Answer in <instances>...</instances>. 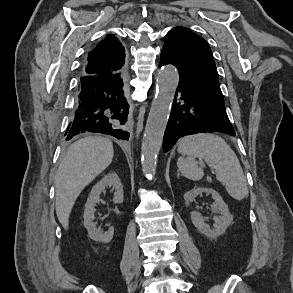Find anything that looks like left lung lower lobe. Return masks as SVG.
Masks as SVG:
<instances>
[{
	"instance_id": "1",
	"label": "left lung lower lobe",
	"mask_w": 293,
	"mask_h": 293,
	"mask_svg": "<svg viewBox=\"0 0 293 293\" xmlns=\"http://www.w3.org/2000/svg\"><path fill=\"white\" fill-rule=\"evenodd\" d=\"M170 63L161 53L160 66ZM221 131L235 135L227 116L224 100L203 93L192 85L179 82L171 115L163 139V149H172L177 140L198 132Z\"/></svg>"
}]
</instances>
